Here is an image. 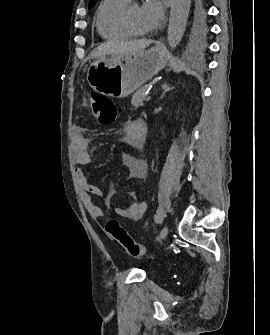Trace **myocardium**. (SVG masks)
<instances>
[{"label": "myocardium", "mask_w": 270, "mask_h": 335, "mask_svg": "<svg viewBox=\"0 0 270 335\" xmlns=\"http://www.w3.org/2000/svg\"><path fill=\"white\" fill-rule=\"evenodd\" d=\"M121 21L122 24L124 26V28L128 31V33L132 36H139L140 33L135 32L132 27L130 26L128 19H127V15H126V10L123 11L122 16H121Z\"/></svg>", "instance_id": "obj_1"}]
</instances>
